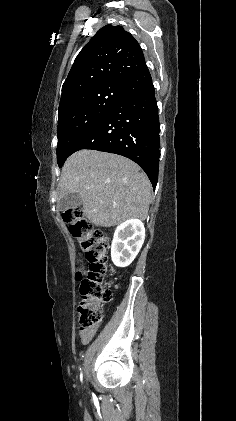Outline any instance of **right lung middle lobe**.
<instances>
[{"mask_svg":"<svg viewBox=\"0 0 236 421\" xmlns=\"http://www.w3.org/2000/svg\"><path fill=\"white\" fill-rule=\"evenodd\" d=\"M124 96L119 86L90 90L59 105L57 162L62 167L80 138Z\"/></svg>","mask_w":236,"mask_h":421,"instance_id":"1","label":"right lung middle lobe"}]
</instances>
